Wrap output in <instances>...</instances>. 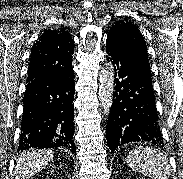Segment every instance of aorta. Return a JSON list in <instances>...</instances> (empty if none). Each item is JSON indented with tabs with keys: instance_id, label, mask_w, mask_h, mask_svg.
I'll list each match as a JSON object with an SVG mask.
<instances>
[{
	"instance_id": "1",
	"label": "aorta",
	"mask_w": 183,
	"mask_h": 179,
	"mask_svg": "<svg viewBox=\"0 0 183 179\" xmlns=\"http://www.w3.org/2000/svg\"><path fill=\"white\" fill-rule=\"evenodd\" d=\"M114 91V69L112 65H106L100 74L99 84V100L103 110V114H110Z\"/></svg>"
}]
</instances>
